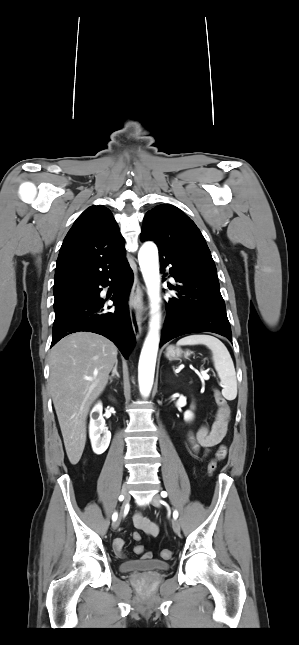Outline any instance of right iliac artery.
<instances>
[{
	"label": "right iliac artery",
	"instance_id": "1",
	"mask_svg": "<svg viewBox=\"0 0 299 645\" xmlns=\"http://www.w3.org/2000/svg\"><path fill=\"white\" fill-rule=\"evenodd\" d=\"M123 499H124L123 495H120V496H119V500H120V501H123ZM117 516H118V515H117V513L115 512V513L112 515V520H113V521H115V520L117 519Z\"/></svg>",
	"mask_w": 299,
	"mask_h": 645
}]
</instances>
